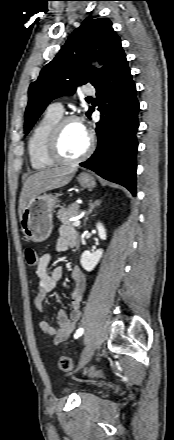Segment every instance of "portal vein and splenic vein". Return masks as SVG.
Returning <instances> with one entry per match:
<instances>
[{"mask_svg":"<svg viewBox=\"0 0 174 440\" xmlns=\"http://www.w3.org/2000/svg\"><path fill=\"white\" fill-rule=\"evenodd\" d=\"M80 224H81V221L79 220V219H76V220H74V222H73V226L74 227H78V226H80Z\"/></svg>","mask_w":174,"mask_h":440,"instance_id":"1","label":"portal vein and splenic vein"}]
</instances>
